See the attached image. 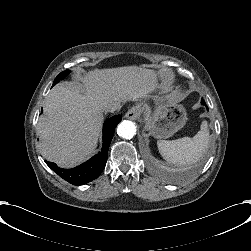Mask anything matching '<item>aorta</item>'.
Listing matches in <instances>:
<instances>
[{
	"mask_svg": "<svg viewBox=\"0 0 251 251\" xmlns=\"http://www.w3.org/2000/svg\"><path fill=\"white\" fill-rule=\"evenodd\" d=\"M117 134L125 139H131L136 134V126L132 121L124 120L117 127Z\"/></svg>",
	"mask_w": 251,
	"mask_h": 251,
	"instance_id": "obj_1",
	"label": "aorta"
}]
</instances>
